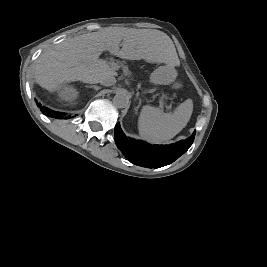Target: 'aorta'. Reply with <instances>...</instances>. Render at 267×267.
<instances>
[{
	"label": "aorta",
	"instance_id": "aorta-1",
	"mask_svg": "<svg viewBox=\"0 0 267 267\" xmlns=\"http://www.w3.org/2000/svg\"><path fill=\"white\" fill-rule=\"evenodd\" d=\"M129 96L126 91H120L116 93L113 98V103L117 108H125L128 105Z\"/></svg>",
	"mask_w": 267,
	"mask_h": 267
}]
</instances>
